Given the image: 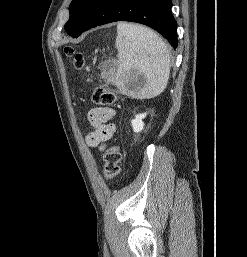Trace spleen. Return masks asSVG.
I'll return each mask as SVG.
<instances>
[{
    "instance_id": "spleen-1",
    "label": "spleen",
    "mask_w": 247,
    "mask_h": 257,
    "mask_svg": "<svg viewBox=\"0 0 247 257\" xmlns=\"http://www.w3.org/2000/svg\"><path fill=\"white\" fill-rule=\"evenodd\" d=\"M118 66L110 81L128 93L127 81L137 75L145 79L137 97L152 98L163 92L170 73V56L167 45L151 29L130 23L117 25Z\"/></svg>"
}]
</instances>
